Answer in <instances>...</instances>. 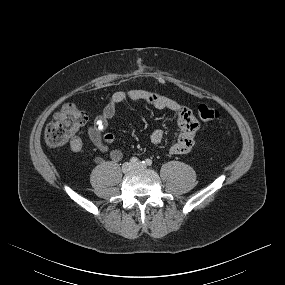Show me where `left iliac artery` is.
<instances>
[{"mask_svg": "<svg viewBox=\"0 0 285 285\" xmlns=\"http://www.w3.org/2000/svg\"><path fill=\"white\" fill-rule=\"evenodd\" d=\"M143 163H144L145 165L151 166L153 162H152L151 159H146L145 161H143Z\"/></svg>", "mask_w": 285, "mask_h": 285, "instance_id": "left-iliac-artery-1", "label": "left iliac artery"}]
</instances>
